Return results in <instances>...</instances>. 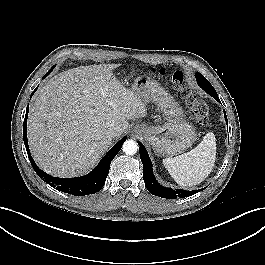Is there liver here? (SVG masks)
<instances>
[{
    "label": "liver",
    "mask_w": 265,
    "mask_h": 265,
    "mask_svg": "<svg viewBox=\"0 0 265 265\" xmlns=\"http://www.w3.org/2000/svg\"><path fill=\"white\" fill-rule=\"evenodd\" d=\"M120 64L82 66L61 72L42 86L30 107L28 142L38 166L57 177L91 170L128 120L147 115L145 103L113 74Z\"/></svg>",
    "instance_id": "liver-1"
}]
</instances>
